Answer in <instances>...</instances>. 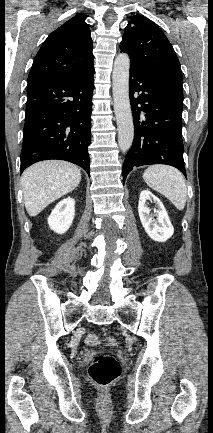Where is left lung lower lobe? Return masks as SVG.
<instances>
[{
  "label": "left lung lower lobe",
  "mask_w": 213,
  "mask_h": 433,
  "mask_svg": "<svg viewBox=\"0 0 213 433\" xmlns=\"http://www.w3.org/2000/svg\"><path fill=\"white\" fill-rule=\"evenodd\" d=\"M129 95L135 134L122 168L123 183L134 167L150 164L174 166L186 177L181 134L182 96L131 67Z\"/></svg>",
  "instance_id": "0a47b994"
}]
</instances>
